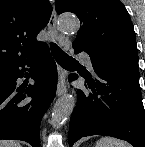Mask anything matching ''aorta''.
<instances>
[{
  "label": "aorta",
  "instance_id": "obj_1",
  "mask_svg": "<svg viewBox=\"0 0 145 147\" xmlns=\"http://www.w3.org/2000/svg\"><path fill=\"white\" fill-rule=\"evenodd\" d=\"M59 29L64 33L77 32L80 23L71 14H64L58 18ZM75 107V98L72 94H66L59 98L54 105L51 123L54 128H60L64 122L71 116Z\"/></svg>",
  "mask_w": 145,
  "mask_h": 147
}]
</instances>
